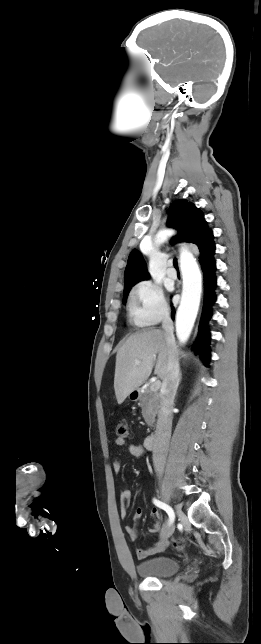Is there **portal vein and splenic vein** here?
<instances>
[{
	"mask_svg": "<svg viewBox=\"0 0 261 644\" xmlns=\"http://www.w3.org/2000/svg\"><path fill=\"white\" fill-rule=\"evenodd\" d=\"M135 364H136V365H139V364H140V361H139V360H136V361H135ZM160 386H161V382H160L159 380H157V381H155V382H153V383L151 384V386H150V390H151V391H153V392H155V391H157V390L160 388Z\"/></svg>",
	"mask_w": 261,
	"mask_h": 644,
	"instance_id": "portal-vein-and-splenic-vein-1",
	"label": "portal vein and splenic vein"
}]
</instances>
